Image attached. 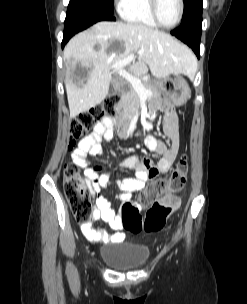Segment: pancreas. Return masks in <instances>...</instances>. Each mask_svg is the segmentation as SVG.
I'll return each instance as SVG.
<instances>
[{"label":"pancreas","instance_id":"obj_1","mask_svg":"<svg viewBox=\"0 0 247 304\" xmlns=\"http://www.w3.org/2000/svg\"><path fill=\"white\" fill-rule=\"evenodd\" d=\"M143 85L146 89L152 91L151 98H157L161 95L159 87L156 83L144 81ZM119 106H123V112L128 115H134L138 112L140 105V97L137 92L131 88L127 93H124L121 96V100L118 104Z\"/></svg>","mask_w":247,"mask_h":304}]
</instances>
